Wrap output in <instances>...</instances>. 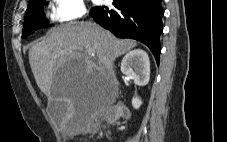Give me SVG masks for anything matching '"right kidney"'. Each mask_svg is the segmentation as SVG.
Segmentation results:
<instances>
[{
  "mask_svg": "<svg viewBox=\"0 0 227 142\" xmlns=\"http://www.w3.org/2000/svg\"><path fill=\"white\" fill-rule=\"evenodd\" d=\"M121 72L132 79L135 85L145 86L150 79V61L148 54L141 49L127 53L121 62ZM142 104L139 97L132 98V106L138 109Z\"/></svg>",
  "mask_w": 227,
  "mask_h": 142,
  "instance_id": "1",
  "label": "right kidney"
}]
</instances>
